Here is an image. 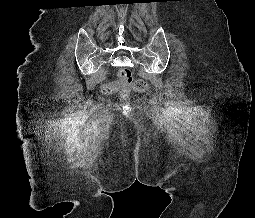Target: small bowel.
I'll list each match as a JSON object with an SVG mask.
<instances>
[{
	"instance_id": "small-bowel-1",
	"label": "small bowel",
	"mask_w": 255,
	"mask_h": 218,
	"mask_svg": "<svg viewBox=\"0 0 255 218\" xmlns=\"http://www.w3.org/2000/svg\"><path fill=\"white\" fill-rule=\"evenodd\" d=\"M112 86L117 87V83H114L113 85H109L107 87H112Z\"/></svg>"
}]
</instances>
